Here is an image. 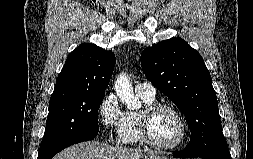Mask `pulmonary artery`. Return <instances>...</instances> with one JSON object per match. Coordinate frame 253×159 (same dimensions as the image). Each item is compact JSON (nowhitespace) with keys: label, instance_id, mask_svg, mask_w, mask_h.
Segmentation results:
<instances>
[{"label":"pulmonary artery","instance_id":"pulmonary-artery-1","mask_svg":"<svg viewBox=\"0 0 253 159\" xmlns=\"http://www.w3.org/2000/svg\"><path fill=\"white\" fill-rule=\"evenodd\" d=\"M138 95L154 98L156 95L155 87L149 82L138 83L135 87Z\"/></svg>","mask_w":253,"mask_h":159}]
</instances>
